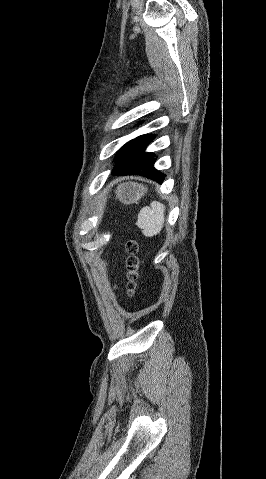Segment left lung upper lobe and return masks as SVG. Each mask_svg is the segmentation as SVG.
I'll return each instance as SVG.
<instances>
[{"label": "left lung upper lobe", "instance_id": "left-lung-upper-lobe-1", "mask_svg": "<svg viewBox=\"0 0 266 479\" xmlns=\"http://www.w3.org/2000/svg\"><path fill=\"white\" fill-rule=\"evenodd\" d=\"M154 139V135H141L122 146L116 154L117 165L112 172L125 170L130 167H138L144 161L154 159L153 153H145V148Z\"/></svg>", "mask_w": 266, "mask_h": 479}]
</instances>
